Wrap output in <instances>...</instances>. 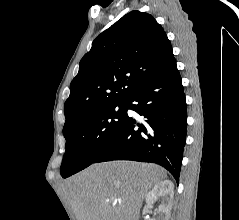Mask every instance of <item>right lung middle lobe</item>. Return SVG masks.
Here are the masks:
<instances>
[{"mask_svg":"<svg viewBox=\"0 0 239 220\" xmlns=\"http://www.w3.org/2000/svg\"><path fill=\"white\" fill-rule=\"evenodd\" d=\"M127 116L125 102L94 110L63 130L66 151L60 173L67 178L94 163L120 130Z\"/></svg>","mask_w":239,"mask_h":220,"instance_id":"1","label":"right lung middle lobe"}]
</instances>
